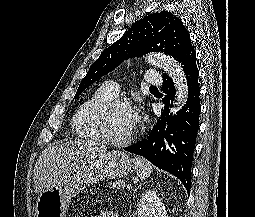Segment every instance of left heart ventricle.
Listing matches in <instances>:
<instances>
[{
	"mask_svg": "<svg viewBox=\"0 0 255 217\" xmlns=\"http://www.w3.org/2000/svg\"><path fill=\"white\" fill-rule=\"evenodd\" d=\"M108 128L110 134L115 138H124L133 132L135 124L130 115V108H115L108 118Z\"/></svg>",
	"mask_w": 255,
	"mask_h": 217,
	"instance_id": "b2bd125f",
	"label": "left heart ventricle"
}]
</instances>
